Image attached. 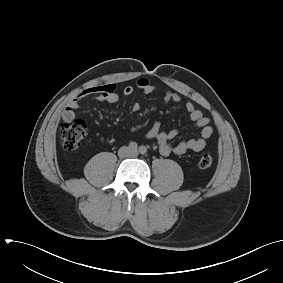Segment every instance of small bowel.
<instances>
[{
  "mask_svg": "<svg viewBox=\"0 0 283 283\" xmlns=\"http://www.w3.org/2000/svg\"><path fill=\"white\" fill-rule=\"evenodd\" d=\"M136 87L145 94H151L156 90V87L144 77H141L137 80ZM134 91L135 88L131 85H128L123 88L122 93L125 96H130L134 93ZM87 97H95L101 102L110 104L116 103L119 100V95L114 84L91 87L83 90L69 101L62 112V119L66 122L72 121L75 118V111L79 108L81 101ZM163 101L165 103L170 101L180 102L181 97L177 93L165 91L163 93ZM140 108L141 106L136 103L133 105L132 110L137 112L140 110ZM185 108L191 121L198 129H200V136L198 138L182 140L173 144L172 140L177 136V130L172 129L169 131H163L160 123L155 122L146 133V137L148 139L155 140L158 143L159 150L162 155H182L188 151H202L207 144V140L213 134V128L210 125V119L204 116L201 110L196 108L195 105L190 101L186 102Z\"/></svg>",
  "mask_w": 283,
  "mask_h": 283,
  "instance_id": "1",
  "label": "small bowel"
}]
</instances>
